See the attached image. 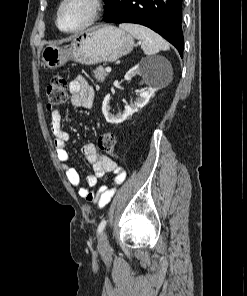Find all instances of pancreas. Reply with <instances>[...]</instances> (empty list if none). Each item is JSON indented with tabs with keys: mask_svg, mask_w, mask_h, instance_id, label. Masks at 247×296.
I'll return each mask as SVG.
<instances>
[{
	"mask_svg": "<svg viewBox=\"0 0 247 296\" xmlns=\"http://www.w3.org/2000/svg\"><path fill=\"white\" fill-rule=\"evenodd\" d=\"M93 73L96 81L99 83H102L105 80V77L108 75L102 66L96 68Z\"/></svg>",
	"mask_w": 247,
	"mask_h": 296,
	"instance_id": "obj_1",
	"label": "pancreas"
}]
</instances>
